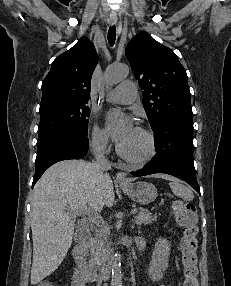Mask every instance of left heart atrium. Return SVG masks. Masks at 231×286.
Here are the masks:
<instances>
[{
	"label": "left heart atrium",
	"instance_id": "1",
	"mask_svg": "<svg viewBox=\"0 0 231 286\" xmlns=\"http://www.w3.org/2000/svg\"><path fill=\"white\" fill-rule=\"evenodd\" d=\"M106 123L112 138L119 145L125 142L135 130L132 120L116 110L108 112Z\"/></svg>",
	"mask_w": 231,
	"mask_h": 286
}]
</instances>
